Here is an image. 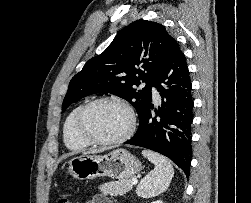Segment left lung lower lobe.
Segmentation results:
<instances>
[{
	"instance_id": "0a47b994",
	"label": "left lung lower lobe",
	"mask_w": 251,
	"mask_h": 203,
	"mask_svg": "<svg viewBox=\"0 0 251 203\" xmlns=\"http://www.w3.org/2000/svg\"><path fill=\"white\" fill-rule=\"evenodd\" d=\"M161 96V107L151 110L152 96L139 116L135 135L125 144L144 147L170 158L190 175L192 154L193 98L185 55L174 42L170 55L156 74L153 85Z\"/></svg>"
}]
</instances>
